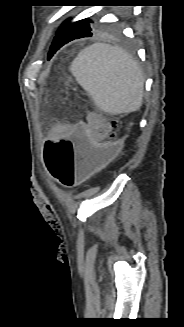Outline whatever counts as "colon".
<instances>
[{"label":"colon","instance_id":"5ec220e1","mask_svg":"<svg viewBox=\"0 0 184 327\" xmlns=\"http://www.w3.org/2000/svg\"><path fill=\"white\" fill-rule=\"evenodd\" d=\"M118 128L117 119L91 113L88 123L77 124L75 139L49 140L44 159L51 175L66 188L83 183L117 154L118 145L113 141Z\"/></svg>","mask_w":184,"mask_h":327}]
</instances>
